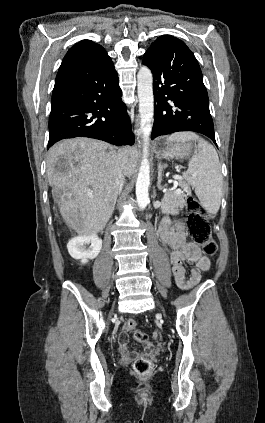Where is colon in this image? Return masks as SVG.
Returning a JSON list of instances; mask_svg holds the SVG:
<instances>
[{"instance_id":"colon-1","label":"colon","mask_w":265,"mask_h":423,"mask_svg":"<svg viewBox=\"0 0 265 423\" xmlns=\"http://www.w3.org/2000/svg\"><path fill=\"white\" fill-rule=\"evenodd\" d=\"M188 215H187V228L194 243L202 247L203 252L208 256H216L218 247L212 238L211 226L208 221L206 211L202 208L198 200L189 197L186 201ZM137 323L135 320H127L125 323V330L134 332L136 340L143 344H148L149 336L142 331L136 330ZM134 371L138 375H149L152 372L151 362L144 357L137 358L133 365Z\"/></svg>"}]
</instances>
